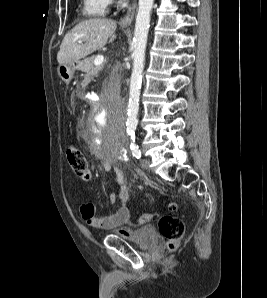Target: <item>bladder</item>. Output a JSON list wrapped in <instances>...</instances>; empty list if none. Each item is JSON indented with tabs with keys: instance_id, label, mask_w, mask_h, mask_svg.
I'll return each mask as SVG.
<instances>
[{
	"instance_id": "1",
	"label": "bladder",
	"mask_w": 267,
	"mask_h": 298,
	"mask_svg": "<svg viewBox=\"0 0 267 298\" xmlns=\"http://www.w3.org/2000/svg\"><path fill=\"white\" fill-rule=\"evenodd\" d=\"M115 235L143 249L152 248L158 242V236L152 226H144L134 229L131 231L130 235H122L120 233H115Z\"/></svg>"
}]
</instances>
